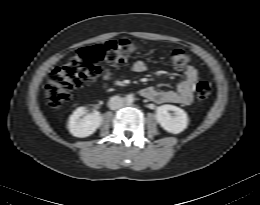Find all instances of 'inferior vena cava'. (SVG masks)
<instances>
[{
    "label": "inferior vena cava",
    "mask_w": 260,
    "mask_h": 205,
    "mask_svg": "<svg viewBox=\"0 0 260 205\" xmlns=\"http://www.w3.org/2000/svg\"><path fill=\"white\" fill-rule=\"evenodd\" d=\"M124 99L119 96H113L110 98L108 105L111 110L119 109L123 106Z\"/></svg>",
    "instance_id": "inferior-vena-cava-1"
}]
</instances>
